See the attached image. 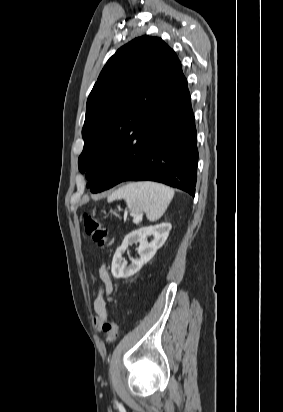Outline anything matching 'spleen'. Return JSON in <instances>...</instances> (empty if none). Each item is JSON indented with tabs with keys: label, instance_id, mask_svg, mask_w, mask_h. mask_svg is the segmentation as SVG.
I'll return each mask as SVG.
<instances>
[{
	"label": "spleen",
	"instance_id": "1",
	"mask_svg": "<svg viewBox=\"0 0 283 412\" xmlns=\"http://www.w3.org/2000/svg\"><path fill=\"white\" fill-rule=\"evenodd\" d=\"M174 191L163 184L144 181L131 182L115 190L108 202L125 200L131 213L144 212L149 221L160 219L173 199Z\"/></svg>",
	"mask_w": 283,
	"mask_h": 412
}]
</instances>
